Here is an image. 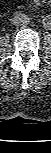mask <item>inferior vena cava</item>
Wrapping results in <instances>:
<instances>
[{"label": "inferior vena cava", "mask_w": 51, "mask_h": 153, "mask_svg": "<svg viewBox=\"0 0 51 153\" xmlns=\"http://www.w3.org/2000/svg\"><path fill=\"white\" fill-rule=\"evenodd\" d=\"M30 19L27 15L19 13L13 18V23L16 26H26L28 25Z\"/></svg>", "instance_id": "obj_1"}]
</instances>
